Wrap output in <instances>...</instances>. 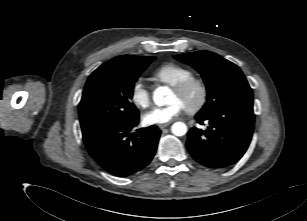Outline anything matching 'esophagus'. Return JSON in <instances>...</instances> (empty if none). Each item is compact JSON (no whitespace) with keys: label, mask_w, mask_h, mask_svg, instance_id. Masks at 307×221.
<instances>
[{"label":"esophagus","mask_w":307,"mask_h":221,"mask_svg":"<svg viewBox=\"0 0 307 221\" xmlns=\"http://www.w3.org/2000/svg\"><path fill=\"white\" fill-rule=\"evenodd\" d=\"M170 125V122L169 123H166V124H161V125H158V127L163 130L164 128L168 127Z\"/></svg>","instance_id":"obj_1"}]
</instances>
